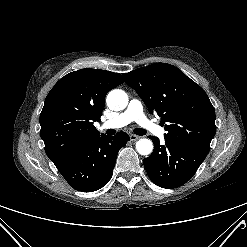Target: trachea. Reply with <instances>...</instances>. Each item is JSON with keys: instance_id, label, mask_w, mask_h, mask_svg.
Instances as JSON below:
<instances>
[{"instance_id": "trachea-1", "label": "trachea", "mask_w": 247, "mask_h": 247, "mask_svg": "<svg viewBox=\"0 0 247 247\" xmlns=\"http://www.w3.org/2000/svg\"><path fill=\"white\" fill-rule=\"evenodd\" d=\"M134 133L136 135H145L146 134V130L145 129H142V128H135L134 129Z\"/></svg>"}]
</instances>
